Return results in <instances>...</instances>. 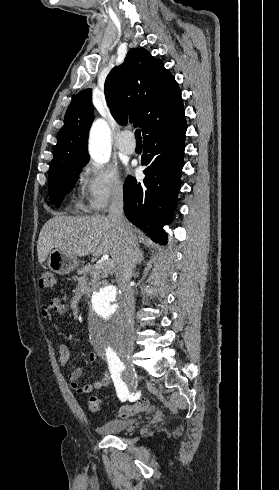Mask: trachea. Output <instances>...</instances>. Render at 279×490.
I'll use <instances>...</instances> for the list:
<instances>
[{"label": "trachea", "mask_w": 279, "mask_h": 490, "mask_svg": "<svg viewBox=\"0 0 279 490\" xmlns=\"http://www.w3.org/2000/svg\"><path fill=\"white\" fill-rule=\"evenodd\" d=\"M135 138H136V141H142L140 129L135 130Z\"/></svg>", "instance_id": "3493384b"}]
</instances>
